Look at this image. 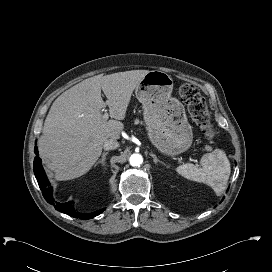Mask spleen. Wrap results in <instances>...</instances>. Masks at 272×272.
<instances>
[{
	"instance_id": "1",
	"label": "spleen",
	"mask_w": 272,
	"mask_h": 272,
	"mask_svg": "<svg viewBox=\"0 0 272 272\" xmlns=\"http://www.w3.org/2000/svg\"><path fill=\"white\" fill-rule=\"evenodd\" d=\"M200 163L202 167L191 163L182 164L176 168V171L188 180L207 184L216 195H221L226 188L231 171L226 154L220 149H215L211 153L204 154Z\"/></svg>"
}]
</instances>
